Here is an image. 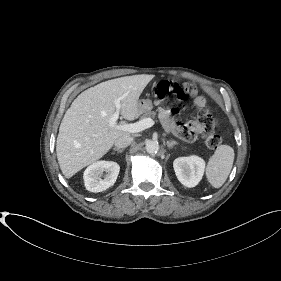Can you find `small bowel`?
Returning <instances> with one entry per match:
<instances>
[{"label":"small bowel","instance_id":"1","mask_svg":"<svg viewBox=\"0 0 281 281\" xmlns=\"http://www.w3.org/2000/svg\"><path fill=\"white\" fill-rule=\"evenodd\" d=\"M193 103L195 107L200 109L206 107V99L202 95L196 96ZM159 117L165 128L179 138L194 140L201 134V126L198 121H188L185 123L176 121L173 119L171 112L164 108L159 109Z\"/></svg>","mask_w":281,"mask_h":281}]
</instances>
